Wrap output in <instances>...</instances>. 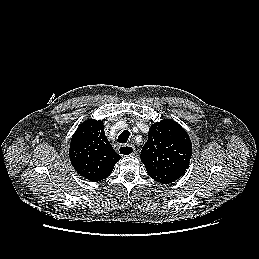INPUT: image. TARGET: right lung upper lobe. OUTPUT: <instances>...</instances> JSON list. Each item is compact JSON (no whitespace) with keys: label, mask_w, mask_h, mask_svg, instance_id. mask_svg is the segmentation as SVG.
Segmentation results:
<instances>
[{"label":"right lung upper lobe","mask_w":259,"mask_h":259,"mask_svg":"<svg viewBox=\"0 0 259 259\" xmlns=\"http://www.w3.org/2000/svg\"><path fill=\"white\" fill-rule=\"evenodd\" d=\"M69 157L75 170L93 182L107 178L121 158L107 140L102 121L94 119L83 122L74 133Z\"/></svg>","instance_id":"1"}]
</instances>
